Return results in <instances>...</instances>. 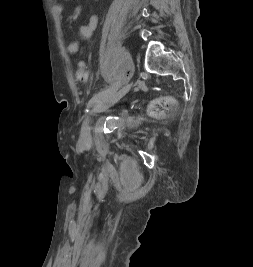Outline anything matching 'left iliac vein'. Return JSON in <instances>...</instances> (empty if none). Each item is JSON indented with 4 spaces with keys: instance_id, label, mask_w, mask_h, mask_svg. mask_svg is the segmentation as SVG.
Instances as JSON below:
<instances>
[{
    "instance_id": "obj_1",
    "label": "left iliac vein",
    "mask_w": 253,
    "mask_h": 267,
    "mask_svg": "<svg viewBox=\"0 0 253 267\" xmlns=\"http://www.w3.org/2000/svg\"><path fill=\"white\" fill-rule=\"evenodd\" d=\"M133 83L130 82L123 86L119 90L112 91L110 93L105 94L102 99L95 104L92 113L93 114H98L105 112L108 110L112 105L117 103L126 93L131 89ZM81 140L85 144L90 143V136H89V125L88 122H85L83 124L82 132H81Z\"/></svg>"
}]
</instances>
